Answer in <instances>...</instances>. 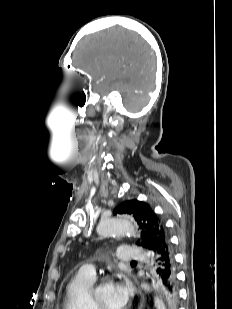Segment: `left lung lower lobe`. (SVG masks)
Masks as SVG:
<instances>
[{"mask_svg":"<svg viewBox=\"0 0 232 309\" xmlns=\"http://www.w3.org/2000/svg\"><path fill=\"white\" fill-rule=\"evenodd\" d=\"M152 258V268L155 272L154 281L164 293V299L167 301V304L165 303L167 308L176 309L178 294L175 261L169 237H165L163 233L152 253Z\"/></svg>","mask_w":232,"mask_h":309,"instance_id":"0a47b994","label":"left lung lower lobe"}]
</instances>
